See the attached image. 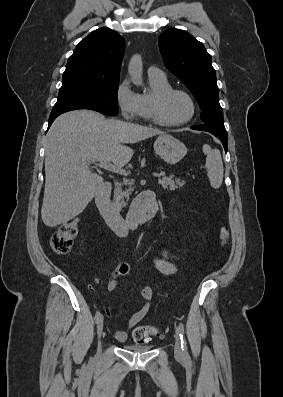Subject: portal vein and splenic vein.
I'll return each instance as SVG.
<instances>
[{"label":"portal vein and splenic vein","instance_id":"18ae733b","mask_svg":"<svg viewBox=\"0 0 283 397\" xmlns=\"http://www.w3.org/2000/svg\"><path fill=\"white\" fill-rule=\"evenodd\" d=\"M95 162V161H94ZM99 167L106 169V170H110L116 173H119L121 175H127L128 173L126 172V170L119 168L117 166H115L114 164L110 163L109 161H105V162H100L98 164ZM163 175V173H153L154 177H161Z\"/></svg>","mask_w":283,"mask_h":397}]
</instances>
